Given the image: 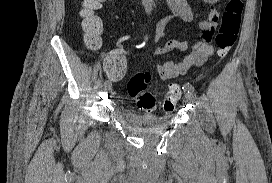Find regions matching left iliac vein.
<instances>
[{"label": "left iliac vein", "mask_w": 272, "mask_h": 183, "mask_svg": "<svg viewBox=\"0 0 272 183\" xmlns=\"http://www.w3.org/2000/svg\"><path fill=\"white\" fill-rule=\"evenodd\" d=\"M186 98H187L189 101H194V100H195V95H194L193 93L186 94Z\"/></svg>", "instance_id": "obj_1"}]
</instances>
